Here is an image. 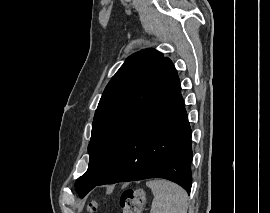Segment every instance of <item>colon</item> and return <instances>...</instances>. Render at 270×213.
I'll list each match as a JSON object with an SVG mask.
<instances>
[{
	"instance_id": "5ec220e1",
	"label": "colon",
	"mask_w": 270,
	"mask_h": 213,
	"mask_svg": "<svg viewBox=\"0 0 270 213\" xmlns=\"http://www.w3.org/2000/svg\"><path fill=\"white\" fill-rule=\"evenodd\" d=\"M146 199V193L141 188H130L125 190L120 197V207L122 213H141ZM97 208L96 203L89 205L91 212Z\"/></svg>"
}]
</instances>
